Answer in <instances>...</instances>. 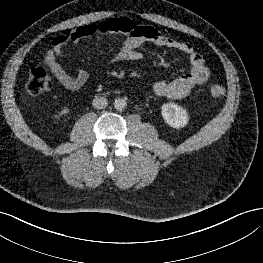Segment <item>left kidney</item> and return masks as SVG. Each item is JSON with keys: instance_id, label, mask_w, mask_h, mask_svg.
I'll return each instance as SVG.
<instances>
[{"instance_id": "5707ae66", "label": "left kidney", "mask_w": 263, "mask_h": 263, "mask_svg": "<svg viewBox=\"0 0 263 263\" xmlns=\"http://www.w3.org/2000/svg\"><path fill=\"white\" fill-rule=\"evenodd\" d=\"M161 113L165 122L176 129L186 126L189 121L186 110L175 103L163 104Z\"/></svg>"}]
</instances>
